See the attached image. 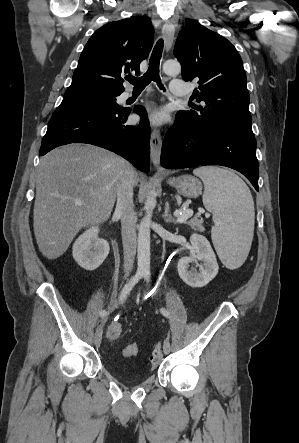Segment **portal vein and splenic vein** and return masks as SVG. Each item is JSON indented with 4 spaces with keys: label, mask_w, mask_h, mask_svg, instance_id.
<instances>
[{
    "label": "portal vein and splenic vein",
    "mask_w": 299,
    "mask_h": 443,
    "mask_svg": "<svg viewBox=\"0 0 299 443\" xmlns=\"http://www.w3.org/2000/svg\"><path fill=\"white\" fill-rule=\"evenodd\" d=\"M76 205H81V202H76ZM204 210H199L198 215L203 213ZM193 211L192 210H186L183 213H179L177 216V222L182 224L185 223L190 217H192Z\"/></svg>",
    "instance_id": "1"
}]
</instances>
